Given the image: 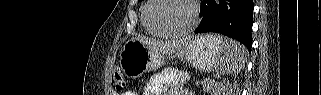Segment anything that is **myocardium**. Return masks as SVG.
Masks as SVG:
<instances>
[{"label": "myocardium", "mask_w": 321, "mask_h": 95, "mask_svg": "<svg viewBox=\"0 0 321 95\" xmlns=\"http://www.w3.org/2000/svg\"><path fill=\"white\" fill-rule=\"evenodd\" d=\"M159 0H148L147 6L144 10L143 19L145 22L146 27L154 34L159 36H167V37H173V36H185L190 34L198 24V7L194 0H182L190 7L191 10V22L189 26L183 30L180 31H173V30H163L156 28L149 20V11L151 7Z\"/></svg>", "instance_id": "myocardium-1"}]
</instances>
